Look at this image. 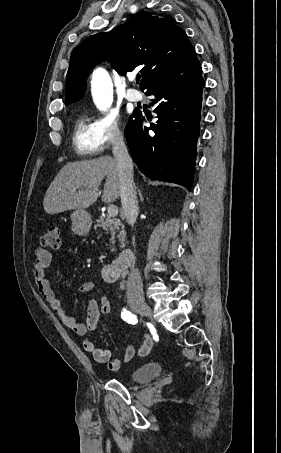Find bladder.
Wrapping results in <instances>:
<instances>
[{
    "label": "bladder",
    "instance_id": "31cf9c89",
    "mask_svg": "<svg viewBox=\"0 0 281 453\" xmlns=\"http://www.w3.org/2000/svg\"><path fill=\"white\" fill-rule=\"evenodd\" d=\"M162 371V366L157 362L144 364L136 368L129 376L132 382H145L153 379Z\"/></svg>",
    "mask_w": 281,
    "mask_h": 453
}]
</instances>
